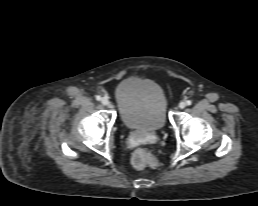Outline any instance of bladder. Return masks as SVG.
Segmentation results:
<instances>
[{
	"mask_svg": "<svg viewBox=\"0 0 258 206\" xmlns=\"http://www.w3.org/2000/svg\"><path fill=\"white\" fill-rule=\"evenodd\" d=\"M122 123L129 129L155 132L167 120V102L161 87L151 80L120 82L114 92Z\"/></svg>",
	"mask_w": 258,
	"mask_h": 206,
	"instance_id": "31cf9c89",
	"label": "bladder"
}]
</instances>
